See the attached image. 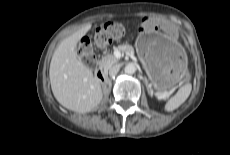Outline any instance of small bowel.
I'll return each mask as SVG.
<instances>
[{
  "label": "small bowel",
  "instance_id": "c3829d8e",
  "mask_svg": "<svg viewBox=\"0 0 230 155\" xmlns=\"http://www.w3.org/2000/svg\"><path fill=\"white\" fill-rule=\"evenodd\" d=\"M163 32L170 38L179 34L180 29L173 22L166 18H157L152 15H148L140 20V24L137 25V32L140 34L151 32Z\"/></svg>",
  "mask_w": 230,
  "mask_h": 155
}]
</instances>
